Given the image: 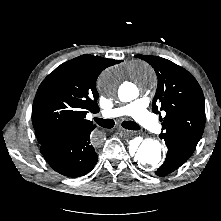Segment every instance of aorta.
<instances>
[{"instance_id": "1", "label": "aorta", "mask_w": 221, "mask_h": 221, "mask_svg": "<svg viewBox=\"0 0 221 221\" xmlns=\"http://www.w3.org/2000/svg\"><path fill=\"white\" fill-rule=\"evenodd\" d=\"M139 67L147 70L151 74L147 65L141 64ZM100 87L106 95H113L116 87V75L112 72L103 74L100 80ZM118 96L121 101L129 102L137 97V90H119ZM132 156L138 165L144 168L157 167L162 160V146L158 141L144 140L138 148L133 150Z\"/></svg>"}]
</instances>
